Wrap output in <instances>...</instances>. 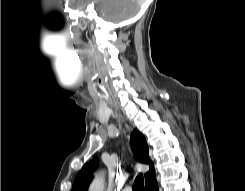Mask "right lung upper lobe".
<instances>
[{"mask_svg": "<svg viewBox=\"0 0 245 191\" xmlns=\"http://www.w3.org/2000/svg\"><path fill=\"white\" fill-rule=\"evenodd\" d=\"M131 148L135 155V158L145 164H149L150 170L145 174V182L155 178V170L152 161L149 158V148L144 136L138 132L134 131L131 134ZM98 159L94 158L84 165V167L79 171L73 184L72 191H87L88 186L92 179V174L97 167Z\"/></svg>", "mask_w": 245, "mask_h": 191, "instance_id": "cb5924a9", "label": "right lung upper lobe"}]
</instances>
